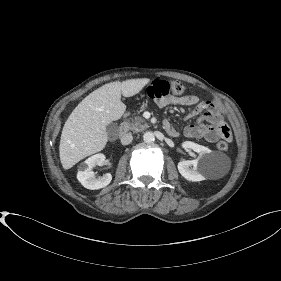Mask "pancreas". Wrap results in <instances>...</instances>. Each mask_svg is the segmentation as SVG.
<instances>
[{"label": "pancreas", "instance_id": "obj_1", "mask_svg": "<svg viewBox=\"0 0 281 281\" xmlns=\"http://www.w3.org/2000/svg\"><path fill=\"white\" fill-rule=\"evenodd\" d=\"M126 126L128 130L135 133L143 131L149 127L148 123L142 117L131 118L128 122H126Z\"/></svg>", "mask_w": 281, "mask_h": 281}]
</instances>
